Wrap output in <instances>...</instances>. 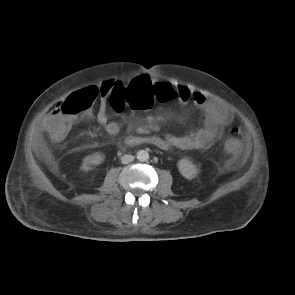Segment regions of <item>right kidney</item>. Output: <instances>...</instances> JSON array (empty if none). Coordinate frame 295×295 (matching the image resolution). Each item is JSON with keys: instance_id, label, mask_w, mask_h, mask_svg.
<instances>
[{"instance_id": "right-kidney-1", "label": "right kidney", "mask_w": 295, "mask_h": 295, "mask_svg": "<svg viewBox=\"0 0 295 295\" xmlns=\"http://www.w3.org/2000/svg\"><path fill=\"white\" fill-rule=\"evenodd\" d=\"M104 161V157L101 154H92L84 158L82 164V170L88 171L91 169V166H96L101 164Z\"/></svg>"}]
</instances>
